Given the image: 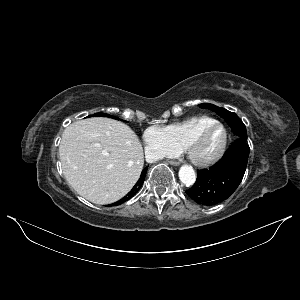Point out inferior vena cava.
Here are the masks:
<instances>
[{"label":"inferior vena cava","instance_id":"602c4592","mask_svg":"<svg viewBox=\"0 0 300 300\" xmlns=\"http://www.w3.org/2000/svg\"><path fill=\"white\" fill-rule=\"evenodd\" d=\"M145 155H146V160L150 163H153L159 159L162 158V154L159 153V152H156V153H151L150 151L146 150L145 151Z\"/></svg>","mask_w":300,"mask_h":300}]
</instances>
